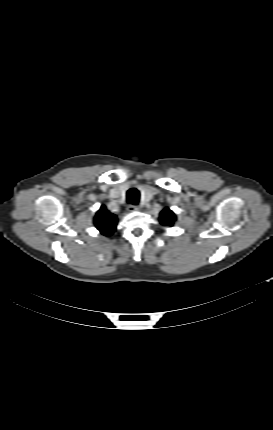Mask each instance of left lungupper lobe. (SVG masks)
<instances>
[{"label": "left lung upper lobe", "mask_w": 273, "mask_h": 430, "mask_svg": "<svg viewBox=\"0 0 273 430\" xmlns=\"http://www.w3.org/2000/svg\"><path fill=\"white\" fill-rule=\"evenodd\" d=\"M175 220L176 216L169 208L163 209L160 213L159 221L164 226H172Z\"/></svg>", "instance_id": "5c2ea615"}]
</instances>
